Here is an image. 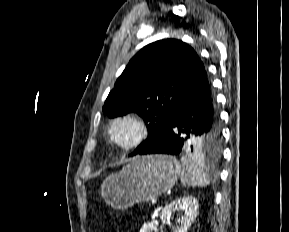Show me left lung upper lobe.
Returning <instances> with one entry per match:
<instances>
[{"label":"left lung upper lobe","mask_w":289,"mask_h":232,"mask_svg":"<svg viewBox=\"0 0 289 232\" xmlns=\"http://www.w3.org/2000/svg\"><path fill=\"white\" fill-rule=\"evenodd\" d=\"M204 70L192 47L176 39L156 41L128 63L109 93L103 112L109 117L136 112L147 123L148 138L132 153L144 149L166 129L179 100ZM220 135L197 140L193 150L218 153Z\"/></svg>","instance_id":"left-lung-upper-lobe-1"}]
</instances>
